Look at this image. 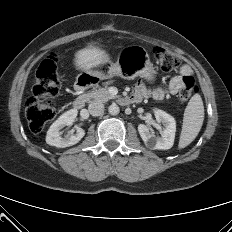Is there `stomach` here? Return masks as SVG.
<instances>
[{
    "instance_id": "0dacf381",
    "label": "stomach",
    "mask_w": 232,
    "mask_h": 232,
    "mask_svg": "<svg viewBox=\"0 0 232 232\" xmlns=\"http://www.w3.org/2000/svg\"><path fill=\"white\" fill-rule=\"evenodd\" d=\"M114 76L125 79L140 76L153 81L155 70L146 49L139 45L125 47L119 53L116 63L104 61L90 69H85L77 76L76 83L91 86L99 80Z\"/></svg>"
}]
</instances>
